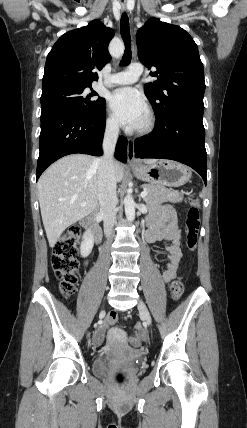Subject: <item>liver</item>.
<instances>
[{
	"label": "liver",
	"instance_id": "obj_1",
	"mask_svg": "<svg viewBox=\"0 0 247 428\" xmlns=\"http://www.w3.org/2000/svg\"><path fill=\"white\" fill-rule=\"evenodd\" d=\"M146 159L145 163H156ZM116 182L124 176V166L115 161ZM43 225L53 248L61 234L70 225L94 211L98 204L97 158L73 154L52 164L37 183ZM86 202L85 206L81 203Z\"/></svg>",
	"mask_w": 247,
	"mask_h": 428
}]
</instances>
